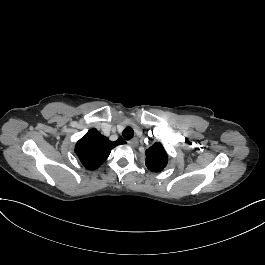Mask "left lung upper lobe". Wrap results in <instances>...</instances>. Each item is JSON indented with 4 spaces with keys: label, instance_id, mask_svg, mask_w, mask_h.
Listing matches in <instances>:
<instances>
[{
    "label": "left lung upper lobe",
    "instance_id": "left-lung-upper-lobe-1",
    "mask_svg": "<svg viewBox=\"0 0 265 265\" xmlns=\"http://www.w3.org/2000/svg\"><path fill=\"white\" fill-rule=\"evenodd\" d=\"M146 166L152 172H159L167 165L168 156L160 143H155L146 150Z\"/></svg>",
    "mask_w": 265,
    "mask_h": 265
}]
</instances>
